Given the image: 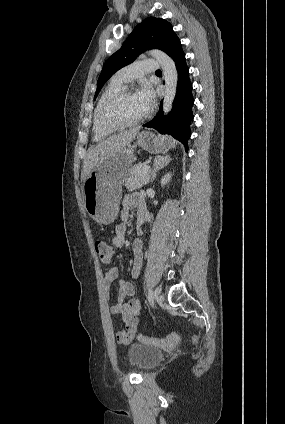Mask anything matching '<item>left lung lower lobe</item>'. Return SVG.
<instances>
[{"mask_svg":"<svg viewBox=\"0 0 285 424\" xmlns=\"http://www.w3.org/2000/svg\"><path fill=\"white\" fill-rule=\"evenodd\" d=\"M168 55L173 59L178 72L177 91L173 107L167 117H164L162 104L157 115L143 127L156 129L161 134H169L184 144L188 151L187 140L190 138V122L193 120L192 83L189 79V68L186 64L185 53L179 39L175 41Z\"/></svg>","mask_w":285,"mask_h":424,"instance_id":"1","label":"left lung lower lobe"}]
</instances>
